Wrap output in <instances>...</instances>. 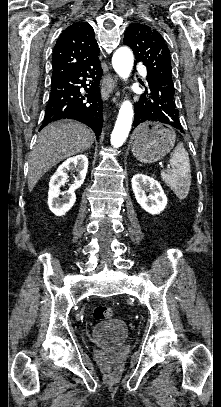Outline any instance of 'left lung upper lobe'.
<instances>
[{
    "instance_id": "1",
    "label": "left lung upper lobe",
    "mask_w": 221,
    "mask_h": 407,
    "mask_svg": "<svg viewBox=\"0 0 221 407\" xmlns=\"http://www.w3.org/2000/svg\"><path fill=\"white\" fill-rule=\"evenodd\" d=\"M124 42L133 50L136 62L147 67V80H162L173 86L170 52L160 33L148 25L133 23L125 32Z\"/></svg>"
}]
</instances>
